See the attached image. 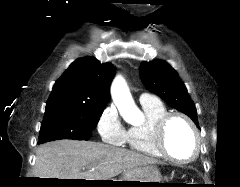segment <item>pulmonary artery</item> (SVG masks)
<instances>
[{
	"mask_svg": "<svg viewBox=\"0 0 240 187\" xmlns=\"http://www.w3.org/2000/svg\"><path fill=\"white\" fill-rule=\"evenodd\" d=\"M141 104L157 102V98L149 93H142L139 97Z\"/></svg>",
	"mask_w": 240,
	"mask_h": 187,
	"instance_id": "e3ab8cb5",
	"label": "pulmonary artery"
}]
</instances>
